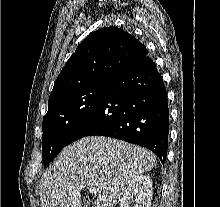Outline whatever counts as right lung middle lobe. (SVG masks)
Returning <instances> with one entry per match:
<instances>
[{
    "mask_svg": "<svg viewBox=\"0 0 220 207\" xmlns=\"http://www.w3.org/2000/svg\"><path fill=\"white\" fill-rule=\"evenodd\" d=\"M108 81L66 92L48 103L43 118V163H49L66 145L79 125L98 104Z\"/></svg>",
    "mask_w": 220,
    "mask_h": 207,
    "instance_id": "right-lung-middle-lobe-1",
    "label": "right lung middle lobe"
}]
</instances>
